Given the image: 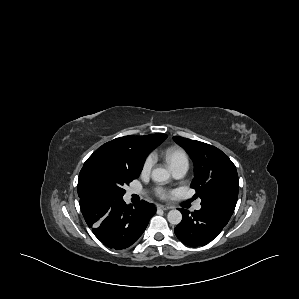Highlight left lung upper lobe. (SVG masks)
<instances>
[{"instance_id": "left-lung-upper-lobe-1", "label": "left lung upper lobe", "mask_w": 299, "mask_h": 299, "mask_svg": "<svg viewBox=\"0 0 299 299\" xmlns=\"http://www.w3.org/2000/svg\"><path fill=\"white\" fill-rule=\"evenodd\" d=\"M194 162L191 188L201 197L202 208L229 221L238 198V174L233 162L218 148L183 137H173Z\"/></svg>"}]
</instances>
